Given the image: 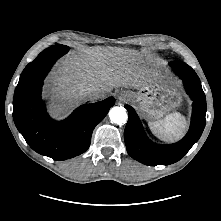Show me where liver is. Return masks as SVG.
<instances>
[{"mask_svg": "<svg viewBox=\"0 0 221 221\" xmlns=\"http://www.w3.org/2000/svg\"><path fill=\"white\" fill-rule=\"evenodd\" d=\"M158 73L139 65L135 51L113 47H92L81 56H69L53 74L50 91L61 113L85 98L82 90L95 87L104 98L113 88L139 89L155 80Z\"/></svg>", "mask_w": 221, "mask_h": 221, "instance_id": "1", "label": "liver"}]
</instances>
